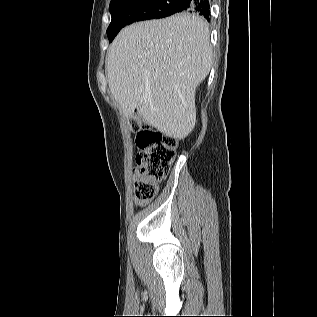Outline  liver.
<instances>
[{
    "mask_svg": "<svg viewBox=\"0 0 317 317\" xmlns=\"http://www.w3.org/2000/svg\"><path fill=\"white\" fill-rule=\"evenodd\" d=\"M213 63L207 22L191 14L123 28L107 53L110 91L125 117L184 139L196 122V88Z\"/></svg>",
    "mask_w": 317,
    "mask_h": 317,
    "instance_id": "obj_1",
    "label": "liver"
}]
</instances>
